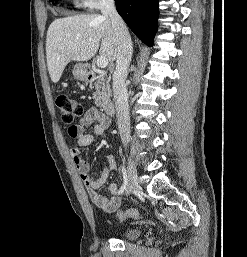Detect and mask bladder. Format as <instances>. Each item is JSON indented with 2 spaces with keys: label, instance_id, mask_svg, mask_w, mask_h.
<instances>
[{
  "label": "bladder",
  "instance_id": "obj_1",
  "mask_svg": "<svg viewBox=\"0 0 247 257\" xmlns=\"http://www.w3.org/2000/svg\"><path fill=\"white\" fill-rule=\"evenodd\" d=\"M142 233V230L137 227L127 228L120 232V236L127 240H134L138 238Z\"/></svg>",
  "mask_w": 247,
  "mask_h": 257
}]
</instances>
